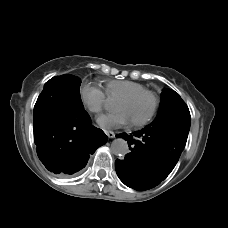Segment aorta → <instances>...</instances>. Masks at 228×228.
<instances>
[{"mask_svg":"<svg viewBox=\"0 0 228 228\" xmlns=\"http://www.w3.org/2000/svg\"><path fill=\"white\" fill-rule=\"evenodd\" d=\"M112 153L118 156L124 157L130 152L129 146L126 140L123 138H117L113 140L111 144Z\"/></svg>","mask_w":228,"mask_h":228,"instance_id":"1","label":"aorta"}]
</instances>
